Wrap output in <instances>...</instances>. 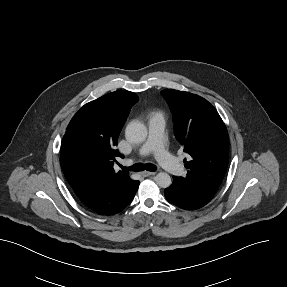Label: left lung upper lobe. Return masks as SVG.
Returning a JSON list of instances; mask_svg holds the SVG:
<instances>
[{"mask_svg":"<svg viewBox=\"0 0 287 287\" xmlns=\"http://www.w3.org/2000/svg\"><path fill=\"white\" fill-rule=\"evenodd\" d=\"M161 94L174 119L177 140L189 154L186 161L188 182L217 192L226 173L229 138L216 109L204 98L185 91L166 89Z\"/></svg>","mask_w":287,"mask_h":287,"instance_id":"5c2ea615","label":"left lung upper lobe"}]
</instances>
